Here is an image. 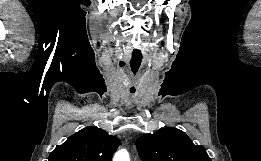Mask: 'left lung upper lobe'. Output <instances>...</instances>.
Wrapping results in <instances>:
<instances>
[{
	"label": "left lung upper lobe",
	"instance_id": "5c2ea615",
	"mask_svg": "<svg viewBox=\"0 0 261 161\" xmlns=\"http://www.w3.org/2000/svg\"><path fill=\"white\" fill-rule=\"evenodd\" d=\"M143 161H211L202 145H194L181 130L167 127L136 142Z\"/></svg>",
	"mask_w": 261,
	"mask_h": 161
}]
</instances>
